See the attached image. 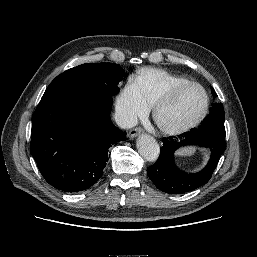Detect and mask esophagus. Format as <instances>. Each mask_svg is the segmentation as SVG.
I'll return each mask as SVG.
<instances>
[{"mask_svg":"<svg viewBox=\"0 0 257 257\" xmlns=\"http://www.w3.org/2000/svg\"><path fill=\"white\" fill-rule=\"evenodd\" d=\"M141 133H142V129L139 128V127H136V128H133V129H131V130L129 131L128 136H129L130 138H134V137H136L137 135H139V134H141Z\"/></svg>","mask_w":257,"mask_h":257,"instance_id":"esophagus-1","label":"esophagus"}]
</instances>
